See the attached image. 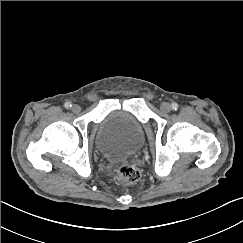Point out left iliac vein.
<instances>
[{"label":"left iliac vein","mask_w":243,"mask_h":243,"mask_svg":"<svg viewBox=\"0 0 243 243\" xmlns=\"http://www.w3.org/2000/svg\"><path fill=\"white\" fill-rule=\"evenodd\" d=\"M160 109H161L162 112L168 113V112L171 111V105L167 102H164V103L161 104Z\"/></svg>","instance_id":"4c4485c4"}]
</instances>
